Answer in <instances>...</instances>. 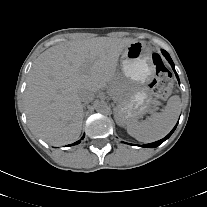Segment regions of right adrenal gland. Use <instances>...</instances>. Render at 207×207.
I'll use <instances>...</instances> for the list:
<instances>
[{"instance_id": "2a0ac1e0", "label": "right adrenal gland", "mask_w": 207, "mask_h": 207, "mask_svg": "<svg viewBox=\"0 0 207 207\" xmlns=\"http://www.w3.org/2000/svg\"><path fill=\"white\" fill-rule=\"evenodd\" d=\"M84 110L86 109V104L83 105Z\"/></svg>"}]
</instances>
